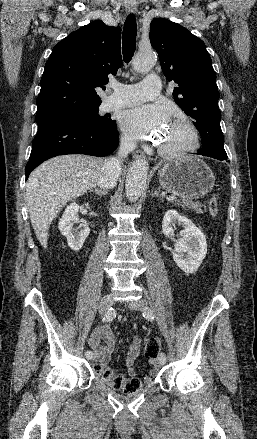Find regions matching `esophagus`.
<instances>
[{
	"label": "esophagus",
	"mask_w": 257,
	"mask_h": 439,
	"mask_svg": "<svg viewBox=\"0 0 257 439\" xmlns=\"http://www.w3.org/2000/svg\"><path fill=\"white\" fill-rule=\"evenodd\" d=\"M125 10L129 14H135L137 12V6L135 3V0H127L125 2ZM133 158L135 159H141L144 158V153L140 150L134 151L132 154Z\"/></svg>",
	"instance_id": "1"
}]
</instances>
